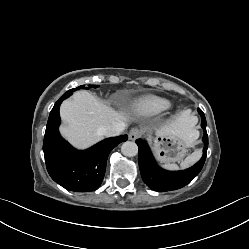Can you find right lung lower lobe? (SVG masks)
<instances>
[{
  "label": "right lung lower lobe",
  "mask_w": 249,
  "mask_h": 249,
  "mask_svg": "<svg viewBox=\"0 0 249 249\" xmlns=\"http://www.w3.org/2000/svg\"><path fill=\"white\" fill-rule=\"evenodd\" d=\"M60 98L50 112L43 142L47 171L51 178L67 190L89 192L99 188L104 178L111 150L127 140V135L105 139L91 148L79 151L59 133Z\"/></svg>",
  "instance_id": "98d812e1"
}]
</instances>
